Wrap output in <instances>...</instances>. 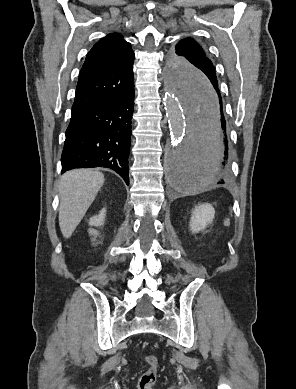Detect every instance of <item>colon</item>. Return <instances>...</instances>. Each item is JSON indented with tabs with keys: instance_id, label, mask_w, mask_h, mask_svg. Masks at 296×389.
Segmentation results:
<instances>
[{
	"instance_id": "1",
	"label": "colon",
	"mask_w": 296,
	"mask_h": 389,
	"mask_svg": "<svg viewBox=\"0 0 296 389\" xmlns=\"http://www.w3.org/2000/svg\"><path fill=\"white\" fill-rule=\"evenodd\" d=\"M143 361L148 365L139 378V389H152L156 381L158 359L154 355H146L143 357Z\"/></svg>"
}]
</instances>
